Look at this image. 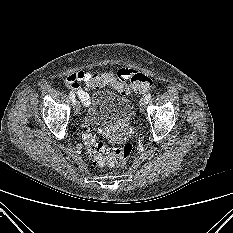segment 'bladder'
I'll list each match as a JSON object with an SVG mask.
<instances>
[{
  "label": "bladder",
  "instance_id": "1",
  "mask_svg": "<svg viewBox=\"0 0 233 233\" xmlns=\"http://www.w3.org/2000/svg\"><path fill=\"white\" fill-rule=\"evenodd\" d=\"M87 120L94 125H109L134 115V106L129 98L109 90H98L86 105Z\"/></svg>",
  "mask_w": 233,
  "mask_h": 233
}]
</instances>
